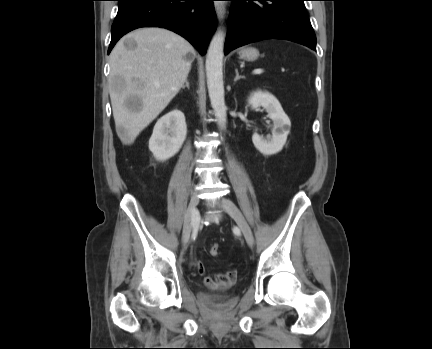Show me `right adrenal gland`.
I'll list each match as a JSON object with an SVG mask.
<instances>
[{"instance_id":"obj_1","label":"right adrenal gland","mask_w":432,"mask_h":349,"mask_svg":"<svg viewBox=\"0 0 432 349\" xmlns=\"http://www.w3.org/2000/svg\"><path fill=\"white\" fill-rule=\"evenodd\" d=\"M185 87H187L188 89L190 88V86H189V82H188L187 79L185 80V84L182 85V89H184Z\"/></svg>"}]
</instances>
